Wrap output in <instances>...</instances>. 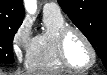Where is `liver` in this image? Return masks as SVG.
<instances>
[{
  "label": "liver",
  "instance_id": "obj_1",
  "mask_svg": "<svg viewBox=\"0 0 107 75\" xmlns=\"http://www.w3.org/2000/svg\"><path fill=\"white\" fill-rule=\"evenodd\" d=\"M13 75H30V74L26 72V73H22V74L21 73H16V74H13Z\"/></svg>",
  "mask_w": 107,
  "mask_h": 75
}]
</instances>
